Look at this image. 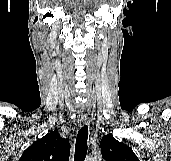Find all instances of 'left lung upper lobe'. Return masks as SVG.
Returning <instances> with one entry per match:
<instances>
[{
  "label": "left lung upper lobe",
  "mask_w": 171,
  "mask_h": 161,
  "mask_svg": "<svg viewBox=\"0 0 171 161\" xmlns=\"http://www.w3.org/2000/svg\"><path fill=\"white\" fill-rule=\"evenodd\" d=\"M100 147L105 161H139L127 145L117 141L111 134L101 139Z\"/></svg>",
  "instance_id": "obj_1"
}]
</instances>
